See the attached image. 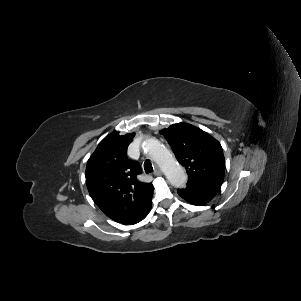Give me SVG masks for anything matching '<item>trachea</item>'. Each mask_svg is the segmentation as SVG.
<instances>
[{
  "label": "trachea",
  "instance_id": "3493384b",
  "mask_svg": "<svg viewBox=\"0 0 301 301\" xmlns=\"http://www.w3.org/2000/svg\"><path fill=\"white\" fill-rule=\"evenodd\" d=\"M144 170H145L146 173L153 172V167H152V164L149 160L144 162Z\"/></svg>",
  "mask_w": 301,
  "mask_h": 301
}]
</instances>
